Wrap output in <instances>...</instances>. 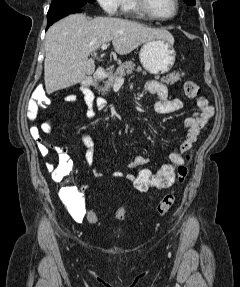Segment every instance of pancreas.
<instances>
[{
	"instance_id": "cf45deb5",
	"label": "pancreas",
	"mask_w": 240,
	"mask_h": 287,
	"mask_svg": "<svg viewBox=\"0 0 240 287\" xmlns=\"http://www.w3.org/2000/svg\"><path fill=\"white\" fill-rule=\"evenodd\" d=\"M136 70L137 72H142L141 67H136V65L133 63V61H126L122 64H120L116 71H114V67H110L108 69V79L104 81V86L98 87V91L102 94H106L109 92L110 87L115 83V81L121 77H124L126 74H131L132 71ZM184 73H170L166 77L162 78V81L167 84H174L175 82L180 80V77L183 76Z\"/></svg>"
}]
</instances>
